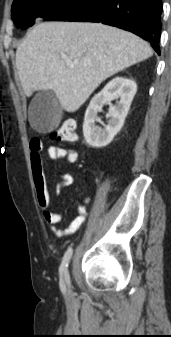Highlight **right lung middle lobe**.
Returning <instances> with one entry per match:
<instances>
[{
  "instance_id": "dd1d6c3e",
  "label": "right lung middle lobe",
  "mask_w": 171,
  "mask_h": 337,
  "mask_svg": "<svg viewBox=\"0 0 171 337\" xmlns=\"http://www.w3.org/2000/svg\"><path fill=\"white\" fill-rule=\"evenodd\" d=\"M68 0H14L12 19L17 28L26 29L39 18L45 19Z\"/></svg>"
}]
</instances>
